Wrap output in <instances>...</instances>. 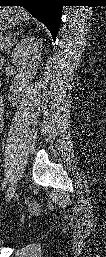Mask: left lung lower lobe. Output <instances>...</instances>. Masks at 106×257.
I'll list each match as a JSON object with an SVG mask.
<instances>
[{
    "label": "left lung lower lobe",
    "mask_w": 106,
    "mask_h": 257,
    "mask_svg": "<svg viewBox=\"0 0 106 257\" xmlns=\"http://www.w3.org/2000/svg\"><path fill=\"white\" fill-rule=\"evenodd\" d=\"M3 6H23L46 25L55 39L59 31L62 5L59 0H0Z\"/></svg>",
    "instance_id": "1"
}]
</instances>
